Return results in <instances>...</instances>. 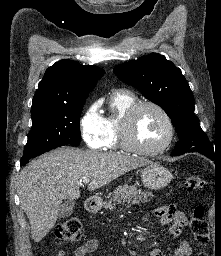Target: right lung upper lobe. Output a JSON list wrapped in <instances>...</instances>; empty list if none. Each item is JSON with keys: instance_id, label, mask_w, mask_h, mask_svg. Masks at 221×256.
<instances>
[{"instance_id": "obj_1", "label": "right lung upper lobe", "mask_w": 221, "mask_h": 256, "mask_svg": "<svg viewBox=\"0 0 221 256\" xmlns=\"http://www.w3.org/2000/svg\"><path fill=\"white\" fill-rule=\"evenodd\" d=\"M104 70L63 59L49 67L33 97L31 111L76 105L86 100Z\"/></svg>"}]
</instances>
